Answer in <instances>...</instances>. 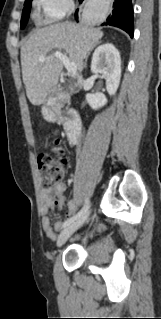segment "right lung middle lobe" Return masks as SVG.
<instances>
[{"mask_svg":"<svg viewBox=\"0 0 161 319\" xmlns=\"http://www.w3.org/2000/svg\"><path fill=\"white\" fill-rule=\"evenodd\" d=\"M31 2L32 0L25 1L22 18H21V29H23L27 23V18L29 16L30 9H31Z\"/></svg>","mask_w":161,"mask_h":319,"instance_id":"obj_1","label":"right lung middle lobe"}]
</instances>
